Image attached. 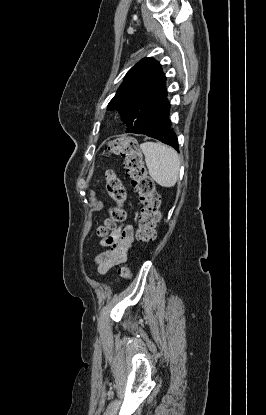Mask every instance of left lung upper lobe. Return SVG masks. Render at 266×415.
<instances>
[{
    "instance_id": "1",
    "label": "left lung upper lobe",
    "mask_w": 266,
    "mask_h": 415,
    "mask_svg": "<svg viewBox=\"0 0 266 415\" xmlns=\"http://www.w3.org/2000/svg\"><path fill=\"white\" fill-rule=\"evenodd\" d=\"M119 110L126 132L143 134L159 127L169 116L166 77L160 63L144 58L126 74L107 110Z\"/></svg>"
}]
</instances>
